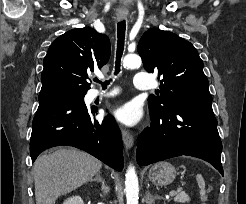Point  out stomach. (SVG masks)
<instances>
[{"instance_id": "1", "label": "stomach", "mask_w": 246, "mask_h": 204, "mask_svg": "<svg viewBox=\"0 0 246 204\" xmlns=\"http://www.w3.org/2000/svg\"><path fill=\"white\" fill-rule=\"evenodd\" d=\"M147 177L156 186L169 185L176 177V169L168 162H160L150 167Z\"/></svg>"}]
</instances>
